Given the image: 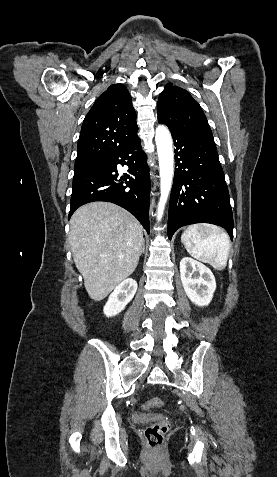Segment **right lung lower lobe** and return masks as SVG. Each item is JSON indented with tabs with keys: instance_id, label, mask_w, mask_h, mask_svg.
Returning a JSON list of instances; mask_svg holds the SVG:
<instances>
[{
	"instance_id": "98d812e1",
	"label": "right lung lower lobe",
	"mask_w": 277,
	"mask_h": 477,
	"mask_svg": "<svg viewBox=\"0 0 277 477\" xmlns=\"http://www.w3.org/2000/svg\"><path fill=\"white\" fill-rule=\"evenodd\" d=\"M146 159L137 137L74 174L69 219L77 208L86 203L112 202L132 213L149 233L151 184ZM117 164L127 165L128 173L119 177Z\"/></svg>"
}]
</instances>
